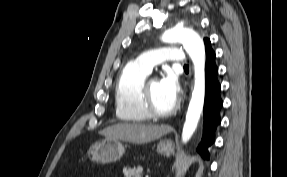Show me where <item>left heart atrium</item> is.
<instances>
[{
  "instance_id": "39dd6f15",
  "label": "left heart atrium",
  "mask_w": 287,
  "mask_h": 177,
  "mask_svg": "<svg viewBox=\"0 0 287 177\" xmlns=\"http://www.w3.org/2000/svg\"><path fill=\"white\" fill-rule=\"evenodd\" d=\"M162 89L165 93L176 102L179 94V83L176 75L172 71H168L160 81Z\"/></svg>"
}]
</instances>
